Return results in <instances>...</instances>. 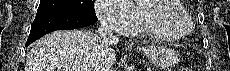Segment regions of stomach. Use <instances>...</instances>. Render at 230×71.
Here are the masks:
<instances>
[{"mask_svg": "<svg viewBox=\"0 0 230 71\" xmlns=\"http://www.w3.org/2000/svg\"><path fill=\"white\" fill-rule=\"evenodd\" d=\"M144 55L156 66L170 68L178 62V55L165 46H150L143 51Z\"/></svg>", "mask_w": 230, "mask_h": 71, "instance_id": "obj_1", "label": "stomach"}]
</instances>
